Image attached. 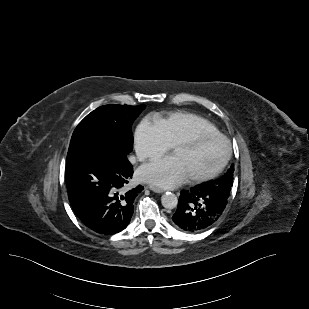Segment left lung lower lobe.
Segmentation results:
<instances>
[{"mask_svg":"<svg viewBox=\"0 0 309 309\" xmlns=\"http://www.w3.org/2000/svg\"><path fill=\"white\" fill-rule=\"evenodd\" d=\"M229 191L201 184L180 193L178 207L172 217L176 227L188 233L210 228L223 214Z\"/></svg>","mask_w":309,"mask_h":309,"instance_id":"obj_1","label":"left lung lower lobe"}]
</instances>
